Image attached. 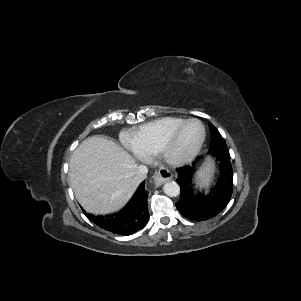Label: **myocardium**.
<instances>
[{
    "label": "myocardium",
    "mask_w": 301,
    "mask_h": 301,
    "mask_svg": "<svg viewBox=\"0 0 301 301\" xmlns=\"http://www.w3.org/2000/svg\"><path fill=\"white\" fill-rule=\"evenodd\" d=\"M191 122H197L200 124L202 128V136L192 152L182 157H176L172 154V147L178 135L182 131V129ZM205 139H206V128L203 122L197 118L186 119L164 137V139L160 144L158 155L161 158V160L169 166L177 167V166L185 165L190 161H192L199 154V152L203 147Z\"/></svg>",
    "instance_id": "myocardium-1"
}]
</instances>
